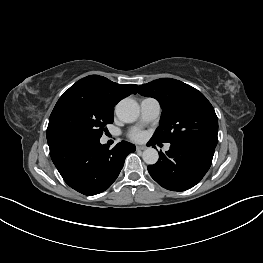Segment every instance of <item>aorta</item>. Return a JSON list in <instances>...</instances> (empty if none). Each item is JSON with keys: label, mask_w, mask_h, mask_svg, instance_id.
<instances>
[{"label": "aorta", "mask_w": 263, "mask_h": 263, "mask_svg": "<svg viewBox=\"0 0 263 263\" xmlns=\"http://www.w3.org/2000/svg\"><path fill=\"white\" fill-rule=\"evenodd\" d=\"M115 111L121 121L131 123L138 118L140 110L136 101L126 98L116 105ZM142 158L146 164L153 165L157 163L159 154L156 149L149 147L143 151Z\"/></svg>", "instance_id": "aorta-1"}]
</instances>
